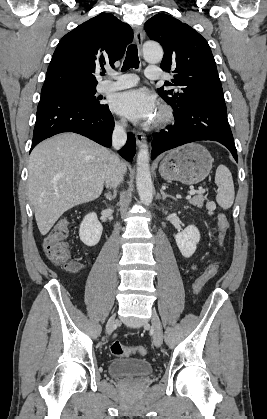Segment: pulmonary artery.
<instances>
[{
	"mask_svg": "<svg viewBox=\"0 0 267 419\" xmlns=\"http://www.w3.org/2000/svg\"><path fill=\"white\" fill-rule=\"evenodd\" d=\"M109 75L111 79L102 81L99 84L98 90L100 92H110L129 88L136 85L138 82V78L134 74L110 73ZM145 75L152 80H157L162 77L161 70L155 66L147 67Z\"/></svg>",
	"mask_w": 267,
	"mask_h": 419,
	"instance_id": "pulmonary-artery-1",
	"label": "pulmonary artery"
}]
</instances>
